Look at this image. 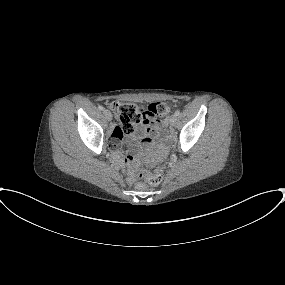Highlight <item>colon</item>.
Listing matches in <instances>:
<instances>
[{"label": "colon", "mask_w": 285, "mask_h": 285, "mask_svg": "<svg viewBox=\"0 0 285 285\" xmlns=\"http://www.w3.org/2000/svg\"><path fill=\"white\" fill-rule=\"evenodd\" d=\"M111 109L116 116L118 129L127 134L131 133L137 125L148 120L163 119L169 112L168 106L163 102H155L143 107L131 102H114L111 104ZM132 160L131 156L124 158L127 164ZM163 174V168L158 167L139 176L152 185H158L163 180Z\"/></svg>", "instance_id": "obj_1"}]
</instances>
